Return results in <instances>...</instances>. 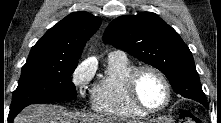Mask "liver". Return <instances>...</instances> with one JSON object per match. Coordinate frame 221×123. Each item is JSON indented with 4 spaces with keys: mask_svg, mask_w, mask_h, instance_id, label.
I'll list each match as a JSON object with an SVG mask.
<instances>
[{
    "mask_svg": "<svg viewBox=\"0 0 221 123\" xmlns=\"http://www.w3.org/2000/svg\"><path fill=\"white\" fill-rule=\"evenodd\" d=\"M102 121L100 118L71 112L51 104L28 106L14 119V123H99Z\"/></svg>",
    "mask_w": 221,
    "mask_h": 123,
    "instance_id": "obj_1",
    "label": "liver"
}]
</instances>
